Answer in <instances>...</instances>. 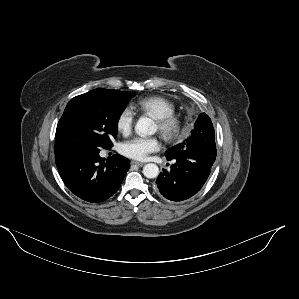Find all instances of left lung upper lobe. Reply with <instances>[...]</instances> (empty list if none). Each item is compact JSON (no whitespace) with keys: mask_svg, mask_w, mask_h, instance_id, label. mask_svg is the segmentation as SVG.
Returning a JSON list of instances; mask_svg holds the SVG:
<instances>
[{"mask_svg":"<svg viewBox=\"0 0 299 299\" xmlns=\"http://www.w3.org/2000/svg\"><path fill=\"white\" fill-rule=\"evenodd\" d=\"M203 152L212 163L215 161L216 144L215 131L211 119L206 113H201L194 124L191 135L182 143L173 146L165 152L167 159L179 153Z\"/></svg>","mask_w":299,"mask_h":299,"instance_id":"5c2ea615","label":"left lung upper lobe"}]
</instances>
